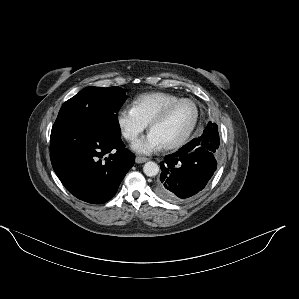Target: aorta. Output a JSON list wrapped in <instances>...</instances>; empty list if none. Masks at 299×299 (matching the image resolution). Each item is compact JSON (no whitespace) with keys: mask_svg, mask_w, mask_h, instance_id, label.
Segmentation results:
<instances>
[{"mask_svg":"<svg viewBox=\"0 0 299 299\" xmlns=\"http://www.w3.org/2000/svg\"><path fill=\"white\" fill-rule=\"evenodd\" d=\"M143 172L146 176L152 177L159 173V166L153 161H149L144 164Z\"/></svg>","mask_w":299,"mask_h":299,"instance_id":"1","label":"aorta"}]
</instances>
